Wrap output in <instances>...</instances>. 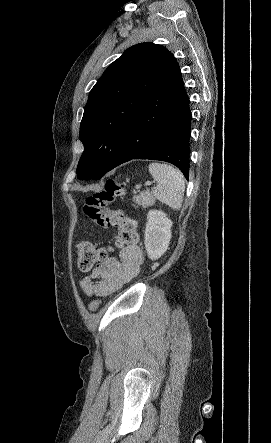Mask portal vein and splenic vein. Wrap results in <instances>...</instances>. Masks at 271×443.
Returning <instances> with one entry per match:
<instances>
[{
    "label": "portal vein and splenic vein",
    "instance_id": "portal-vein-and-splenic-vein-1",
    "mask_svg": "<svg viewBox=\"0 0 271 443\" xmlns=\"http://www.w3.org/2000/svg\"><path fill=\"white\" fill-rule=\"evenodd\" d=\"M146 186H151V182H145Z\"/></svg>",
    "mask_w": 271,
    "mask_h": 443
}]
</instances>
